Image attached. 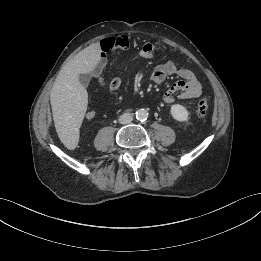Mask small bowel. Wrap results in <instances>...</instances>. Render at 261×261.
<instances>
[{"label":"small bowel","instance_id":"c3829d8e","mask_svg":"<svg viewBox=\"0 0 261 261\" xmlns=\"http://www.w3.org/2000/svg\"><path fill=\"white\" fill-rule=\"evenodd\" d=\"M130 47V40L127 36H110L104 38L100 42V57L95 67L94 74L96 77L100 76L106 61V55L116 50H126ZM138 55L143 58L151 59L156 55L155 45L147 41L140 48H138ZM177 76L180 79L176 81L164 94L163 101L167 104L178 99H195L202 93V87L195 74L184 67L178 66L175 61H167L154 68L151 73V79L156 84L164 83L170 76ZM121 78H113L109 84L108 89L115 91L121 86ZM88 120L95 118V112L89 111L86 114Z\"/></svg>","mask_w":261,"mask_h":261}]
</instances>
